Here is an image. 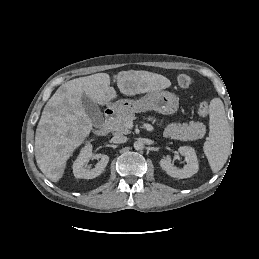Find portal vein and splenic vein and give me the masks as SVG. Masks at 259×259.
<instances>
[{
  "mask_svg": "<svg viewBox=\"0 0 259 259\" xmlns=\"http://www.w3.org/2000/svg\"><path fill=\"white\" fill-rule=\"evenodd\" d=\"M144 126L146 127V129L148 130V131H151V130H153V126L152 125H150V124H144Z\"/></svg>",
  "mask_w": 259,
  "mask_h": 259,
  "instance_id": "18ae733b",
  "label": "portal vein and splenic vein"
}]
</instances>
